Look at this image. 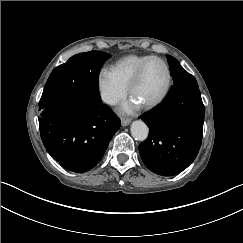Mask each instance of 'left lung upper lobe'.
<instances>
[{"label": "left lung upper lobe", "instance_id": "left-lung-upper-lobe-1", "mask_svg": "<svg viewBox=\"0 0 243 243\" xmlns=\"http://www.w3.org/2000/svg\"><path fill=\"white\" fill-rule=\"evenodd\" d=\"M166 57L174 81V85L171 87L170 91L180 87H198L196 79L182 68L180 63L174 57L170 55H166Z\"/></svg>", "mask_w": 243, "mask_h": 243}]
</instances>
